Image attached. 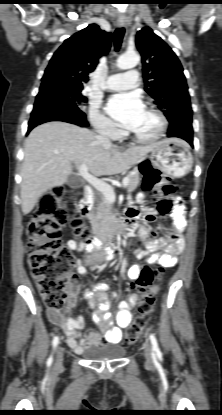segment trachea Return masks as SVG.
I'll return each instance as SVG.
<instances>
[{
	"mask_svg": "<svg viewBox=\"0 0 222 415\" xmlns=\"http://www.w3.org/2000/svg\"><path fill=\"white\" fill-rule=\"evenodd\" d=\"M125 34V29L123 27L117 28L114 33V45L115 50L118 51L121 47L122 40Z\"/></svg>",
	"mask_w": 222,
	"mask_h": 415,
	"instance_id": "3493384b",
	"label": "trachea"
}]
</instances>
